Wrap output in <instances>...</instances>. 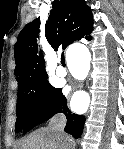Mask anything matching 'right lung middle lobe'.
Here are the masks:
<instances>
[{"label":"right lung middle lobe","instance_id":"dd1d6c3e","mask_svg":"<svg viewBox=\"0 0 124 149\" xmlns=\"http://www.w3.org/2000/svg\"><path fill=\"white\" fill-rule=\"evenodd\" d=\"M57 91L46 79L35 86L19 87L17 99L16 132L23 130L28 119L36 114L44 112L51 103L52 97Z\"/></svg>","mask_w":124,"mask_h":149}]
</instances>
